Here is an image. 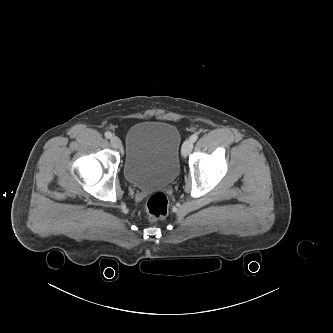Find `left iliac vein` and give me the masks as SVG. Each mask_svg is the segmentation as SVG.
Listing matches in <instances>:
<instances>
[{"label":"left iliac vein","instance_id":"4c4485c4","mask_svg":"<svg viewBox=\"0 0 333 333\" xmlns=\"http://www.w3.org/2000/svg\"><path fill=\"white\" fill-rule=\"evenodd\" d=\"M193 149V142L189 139L186 140L183 145H182V149H181V153L184 157H186Z\"/></svg>","mask_w":333,"mask_h":333}]
</instances>
